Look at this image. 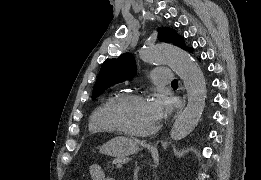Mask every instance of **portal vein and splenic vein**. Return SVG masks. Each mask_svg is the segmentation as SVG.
<instances>
[{
  "label": "portal vein and splenic vein",
  "instance_id": "18ae733b",
  "mask_svg": "<svg viewBox=\"0 0 261 180\" xmlns=\"http://www.w3.org/2000/svg\"><path fill=\"white\" fill-rule=\"evenodd\" d=\"M113 166L116 167V170H123L124 166L121 165V162H114Z\"/></svg>",
  "mask_w": 261,
  "mask_h": 180
}]
</instances>
